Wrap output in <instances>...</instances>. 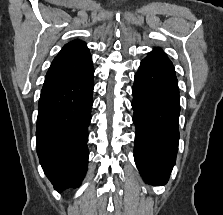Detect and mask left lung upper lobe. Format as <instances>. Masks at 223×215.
Here are the masks:
<instances>
[{"mask_svg":"<svg viewBox=\"0 0 223 215\" xmlns=\"http://www.w3.org/2000/svg\"><path fill=\"white\" fill-rule=\"evenodd\" d=\"M145 59L172 64L166 54L160 49H154L152 52L149 53V55Z\"/></svg>","mask_w":223,"mask_h":215,"instance_id":"1","label":"left lung upper lobe"}]
</instances>
